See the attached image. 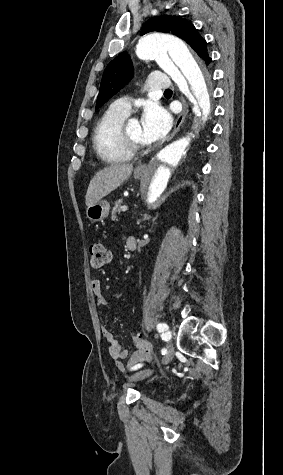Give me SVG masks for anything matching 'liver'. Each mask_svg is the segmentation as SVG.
<instances>
[{
    "instance_id": "liver-1",
    "label": "liver",
    "mask_w": 283,
    "mask_h": 475,
    "mask_svg": "<svg viewBox=\"0 0 283 475\" xmlns=\"http://www.w3.org/2000/svg\"><path fill=\"white\" fill-rule=\"evenodd\" d=\"M132 170V164H111V166L97 172L88 186L86 206H93V204L100 202L102 198L111 194L113 190L119 188L131 176Z\"/></svg>"
}]
</instances>
